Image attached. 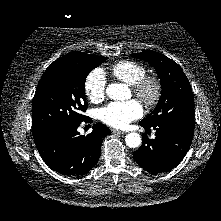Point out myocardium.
<instances>
[{
    "label": "myocardium",
    "instance_id": "myocardium-1",
    "mask_svg": "<svg viewBox=\"0 0 221 221\" xmlns=\"http://www.w3.org/2000/svg\"><path fill=\"white\" fill-rule=\"evenodd\" d=\"M133 93L148 107L154 106L160 100L162 84L156 76H144L131 85Z\"/></svg>",
    "mask_w": 221,
    "mask_h": 221
}]
</instances>
